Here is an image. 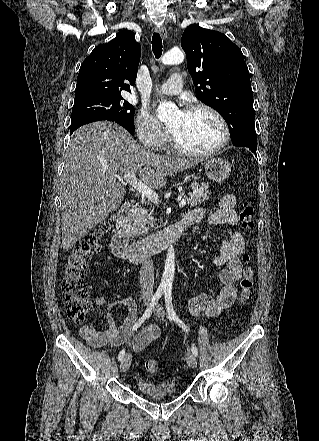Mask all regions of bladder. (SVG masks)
<instances>
[{
	"instance_id": "1",
	"label": "bladder",
	"mask_w": 319,
	"mask_h": 441,
	"mask_svg": "<svg viewBox=\"0 0 319 441\" xmlns=\"http://www.w3.org/2000/svg\"><path fill=\"white\" fill-rule=\"evenodd\" d=\"M177 383L173 380L155 381L142 378L137 381L138 393L147 398H164L177 395Z\"/></svg>"
}]
</instances>
